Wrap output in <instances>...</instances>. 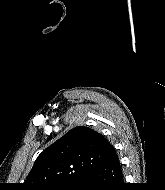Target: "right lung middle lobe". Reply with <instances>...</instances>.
I'll use <instances>...</instances> for the list:
<instances>
[{
    "label": "right lung middle lobe",
    "instance_id": "dd1d6c3e",
    "mask_svg": "<svg viewBox=\"0 0 165 190\" xmlns=\"http://www.w3.org/2000/svg\"><path fill=\"white\" fill-rule=\"evenodd\" d=\"M82 180L77 181L76 183L61 185L49 188L48 190H80Z\"/></svg>",
    "mask_w": 165,
    "mask_h": 190
}]
</instances>
